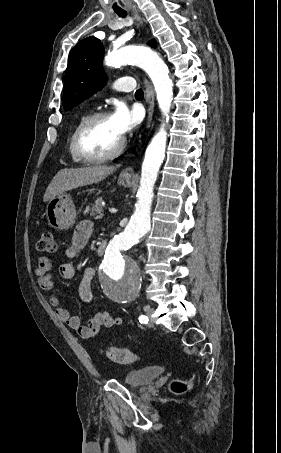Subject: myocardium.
Here are the masks:
<instances>
[{
	"label": "myocardium",
	"instance_id": "obj_1",
	"mask_svg": "<svg viewBox=\"0 0 281 453\" xmlns=\"http://www.w3.org/2000/svg\"><path fill=\"white\" fill-rule=\"evenodd\" d=\"M109 114L105 112H99L95 113L89 117H87L78 127L76 135H75V149L77 155L84 161L86 162H104L107 160H111L115 157H117L123 150L126 139L122 137L120 142L117 144V146L110 151L109 153L102 154V155H97L93 156L88 154L85 149H84V141L85 137L90 130V128L95 125L96 123L100 121H104L106 119H109Z\"/></svg>",
	"mask_w": 281,
	"mask_h": 453
}]
</instances>
